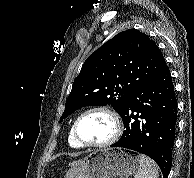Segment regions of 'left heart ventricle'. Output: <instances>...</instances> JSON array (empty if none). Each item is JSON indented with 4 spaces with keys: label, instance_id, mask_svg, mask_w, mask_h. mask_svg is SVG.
<instances>
[{
    "label": "left heart ventricle",
    "instance_id": "left-heart-ventricle-1",
    "mask_svg": "<svg viewBox=\"0 0 194 178\" xmlns=\"http://www.w3.org/2000/svg\"><path fill=\"white\" fill-rule=\"evenodd\" d=\"M113 132V123L104 113L93 112L85 115L78 124L80 138L88 143L107 140Z\"/></svg>",
    "mask_w": 194,
    "mask_h": 178
}]
</instances>
